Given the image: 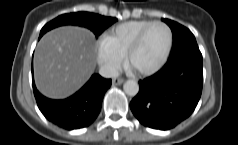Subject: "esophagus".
Instances as JSON below:
<instances>
[{"mask_svg": "<svg viewBox=\"0 0 238 145\" xmlns=\"http://www.w3.org/2000/svg\"><path fill=\"white\" fill-rule=\"evenodd\" d=\"M124 82V79H122V78H114L113 80H112V84L113 85H120V84H122Z\"/></svg>", "mask_w": 238, "mask_h": 145, "instance_id": "1", "label": "esophagus"}]
</instances>
